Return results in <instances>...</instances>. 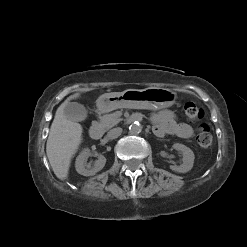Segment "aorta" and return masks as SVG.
Wrapping results in <instances>:
<instances>
[{
    "instance_id": "1",
    "label": "aorta",
    "mask_w": 247,
    "mask_h": 247,
    "mask_svg": "<svg viewBox=\"0 0 247 247\" xmlns=\"http://www.w3.org/2000/svg\"><path fill=\"white\" fill-rule=\"evenodd\" d=\"M142 131V125L139 122H134L129 126V133L137 135Z\"/></svg>"
}]
</instances>
